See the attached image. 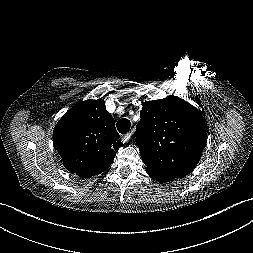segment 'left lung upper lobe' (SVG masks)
I'll use <instances>...</instances> for the list:
<instances>
[{
	"instance_id": "1",
	"label": "left lung upper lobe",
	"mask_w": 253,
	"mask_h": 253,
	"mask_svg": "<svg viewBox=\"0 0 253 253\" xmlns=\"http://www.w3.org/2000/svg\"><path fill=\"white\" fill-rule=\"evenodd\" d=\"M140 117L136 142L146 169L174 178L188 175L206 146L201 112L171 95L145 102Z\"/></svg>"
}]
</instances>
